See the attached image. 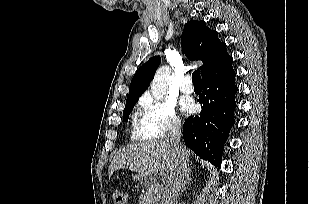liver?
<instances>
[{"mask_svg": "<svg viewBox=\"0 0 309 204\" xmlns=\"http://www.w3.org/2000/svg\"><path fill=\"white\" fill-rule=\"evenodd\" d=\"M185 150L189 158L191 152L186 148ZM176 163V153L166 139L131 143L115 155L110 165L109 177L117 169H129L149 177L159 171L172 174Z\"/></svg>", "mask_w": 309, "mask_h": 204, "instance_id": "6515ba94", "label": "liver"}]
</instances>
